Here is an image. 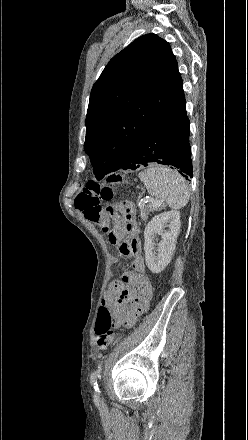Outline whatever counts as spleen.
Returning <instances> with one entry per match:
<instances>
[{
  "label": "spleen",
  "instance_id": "3e777b00",
  "mask_svg": "<svg viewBox=\"0 0 248 440\" xmlns=\"http://www.w3.org/2000/svg\"><path fill=\"white\" fill-rule=\"evenodd\" d=\"M139 178L151 196L166 203L171 209H180L188 203L189 188L178 172L165 166L153 165L141 171Z\"/></svg>",
  "mask_w": 248,
  "mask_h": 440
}]
</instances>
